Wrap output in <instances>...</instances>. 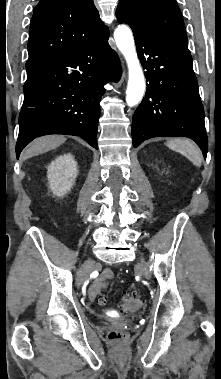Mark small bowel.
<instances>
[{"label":"small bowel","instance_id":"c3829d8e","mask_svg":"<svg viewBox=\"0 0 221 379\" xmlns=\"http://www.w3.org/2000/svg\"><path fill=\"white\" fill-rule=\"evenodd\" d=\"M113 278V272L110 269H105L102 273V277L100 279H97L94 281V283L89 288V297L91 300H95L102 288V283L104 279H112Z\"/></svg>","mask_w":221,"mask_h":379}]
</instances>
